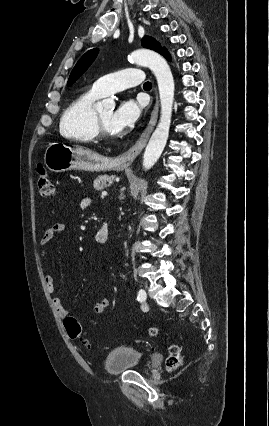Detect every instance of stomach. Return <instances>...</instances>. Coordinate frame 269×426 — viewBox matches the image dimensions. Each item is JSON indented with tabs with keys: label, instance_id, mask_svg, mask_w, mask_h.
<instances>
[{
	"label": "stomach",
	"instance_id": "1",
	"mask_svg": "<svg viewBox=\"0 0 269 426\" xmlns=\"http://www.w3.org/2000/svg\"><path fill=\"white\" fill-rule=\"evenodd\" d=\"M44 164L54 173L68 170L100 172L127 168V164L118 159L103 157L83 147L59 142L48 144L44 153Z\"/></svg>",
	"mask_w": 269,
	"mask_h": 426
}]
</instances>
